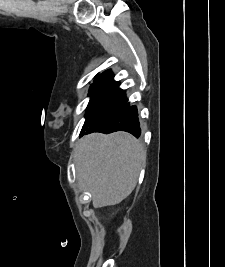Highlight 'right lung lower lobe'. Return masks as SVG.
I'll return each mask as SVG.
<instances>
[{
    "mask_svg": "<svg viewBox=\"0 0 225 267\" xmlns=\"http://www.w3.org/2000/svg\"><path fill=\"white\" fill-rule=\"evenodd\" d=\"M113 78L111 70H107L91 85V99L80 135L126 131L137 138L140 136L137 108L129 105L125 90Z\"/></svg>",
    "mask_w": 225,
    "mask_h": 267,
    "instance_id": "1",
    "label": "right lung lower lobe"
}]
</instances>
